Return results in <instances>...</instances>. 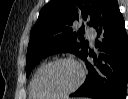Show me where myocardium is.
Returning a JSON list of instances; mask_svg holds the SVG:
<instances>
[{
    "label": "myocardium",
    "instance_id": "obj_1",
    "mask_svg": "<svg viewBox=\"0 0 128 99\" xmlns=\"http://www.w3.org/2000/svg\"><path fill=\"white\" fill-rule=\"evenodd\" d=\"M64 62L72 63L73 65H75V67L78 70L79 77H78V80L75 83V85L72 86L70 89L62 92V93H57V94H43V93H40L37 90V87H36V81H37V78H38L40 72L43 69H45L46 67L50 66V65H54V64H57V63H64ZM84 80H85V72H84V69H83L82 65L76 59H74L72 57H61V58L53 59V60L41 65L37 69V71L35 72V74L33 76L32 81H31V88H32V91L34 92V94L38 97H45V98H49V99H58V98H64V97H67V96L73 94L75 91H77L81 87Z\"/></svg>",
    "mask_w": 128,
    "mask_h": 99
}]
</instances>
